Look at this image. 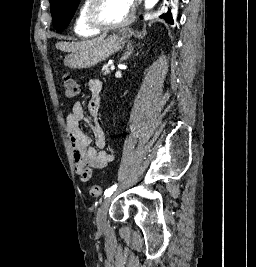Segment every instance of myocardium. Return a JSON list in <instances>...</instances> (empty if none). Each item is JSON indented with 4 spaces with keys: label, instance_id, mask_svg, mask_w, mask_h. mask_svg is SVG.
Returning <instances> with one entry per match:
<instances>
[{
    "label": "myocardium",
    "instance_id": "myocardium-1",
    "mask_svg": "<svg viewBox=\"0 0 256 267\" xmlns=\"http://www.w3.org/2000/svg\"><path fill=\"white\" fill-rule=\"evenodd\" d=\"M105 1H109V0H92V3L86 14L87 23L90 25L91 28L99 32H111V31L120 30L126 27L127 25L131 24L132 22H134L135 20L134 15H132V18L130 21L124 24H120V25H108L102 22L98 17V10H99L101 3Z\"/></svg>",
    "mask_w": 256,
    "mask_h": 267
}]
</instances>
